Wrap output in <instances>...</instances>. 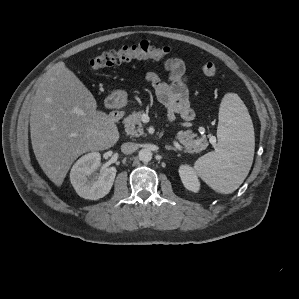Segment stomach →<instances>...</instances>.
Returning a JSON list of instances; mask_svg holds the SVG:
<instances>
[{"label": "stomach", "mask_w": 299, "mask_h": 299, "mask_svg": "<svg viewBox=\"0 0 299 299\" xmlns=\"http://www.w3.org/2000/svg\"><path fill=\"white\" fill-rule=\"evenodd\" d=\"M109 100L113 107H120L126 103L127 94L125 91H116L110 96Z\"/></svg>", "instance_id": "stomach-1"}]
</instances>
